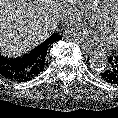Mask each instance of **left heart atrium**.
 Returning a JSON list of instances; mask_svg holds the SVG:
<instances>
[{"mask_svg":"<svg viewBox=\"0 0 118 118\" xmlns=\"http://www.w3.org/2000/svg\"><path fill=\"white\" fill-rule=\"evenodd\" d=\"M69 38L87 48L105 49L111 41L105 30L98 25L80 24L68 32Z\"/></svg>","mask_w":118,"mask_h":118,"instance_id":"left-heart-atrium-1","label":"left heart atrium"}]
</instances>
